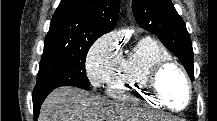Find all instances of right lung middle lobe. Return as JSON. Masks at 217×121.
<instances>
[{
    "label": "right lung middle lobe",
    "mask_w": 217,
    "mask_h": 121,
    "mask_svg": "<svg viewBox=\"0 0 217 121\" xmlns=\"http://www.w3.org/2000/svg\"><path fill=\"white\" fill-rule=\"evenodd\" d=\"M95 40L46 37L33 97L61 86H76L89 90L85 59Z\"/></svg>",
    "instance_id": "dd1d6c3e"
}]
</instances>
